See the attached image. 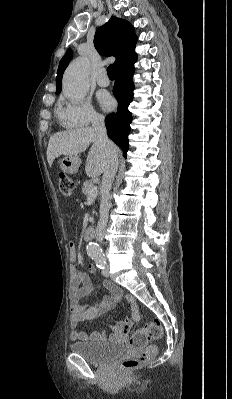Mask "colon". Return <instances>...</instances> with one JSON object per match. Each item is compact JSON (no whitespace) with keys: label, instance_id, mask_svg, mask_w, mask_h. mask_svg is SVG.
<instances>
[{"label":"colon","instance_id":"5ec220e1","mask_svg":"<svg viewBox=\"0 0 232 399\" xmlns=\"http://www.w3.org/2000/svg\"><path fill=\"white\" fill-rule=\"evenodd\" d=\"M56 184L61 185L62 195L73 197V180L67 174H57ZM161 326L157 321H150L149 326H134V334H129L130 353L137 355H123V368H141V365H149V358H153V351H146V347H152V341H159Z\"/></svg>","mask_w":232,"mask_h":399}]
</instances>
